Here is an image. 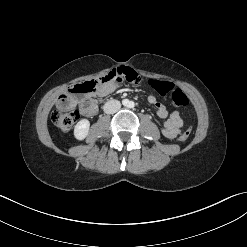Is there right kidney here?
Listing matches in <instances>:
<instances>
[{
    "instance_id": "1",
    "label": "right kidney",
    "mask_w": 247,
    "mask_h": 247,
    "mask_svg": "<svg viewBox=\"0 0 247 247\" xmlns=\"http://www.w3.org/2000/svg\"><path fill=\"white\" fill-rule=\"evenodd\" d=\"M90 122L87 119L80 120L74 128V137L77 140H83L88 135Z\"/></svg>"
}]
</instances>
